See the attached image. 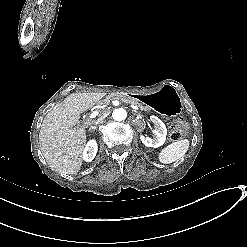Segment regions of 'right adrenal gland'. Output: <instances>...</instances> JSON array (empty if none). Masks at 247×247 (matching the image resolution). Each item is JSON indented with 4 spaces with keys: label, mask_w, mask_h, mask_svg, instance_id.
<instances>
[{
    "label": "right adrenal gland",
    "mask_w": 247,
    "mask_h": 247,
    "mask_svg": "<svg viewBox=\"0 0 247 247\" xmlns=\"http://www.w3.org/2000/svg\"><path fill=\"white\" fill-rule=\"evenodd\" d=\"M93 129H95V128H90V129H89V132L92 131Z\"/></svg>",
    "instance_id": "right-adrenal-gland-1"
}]
</instances>
